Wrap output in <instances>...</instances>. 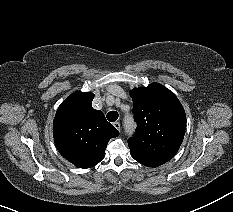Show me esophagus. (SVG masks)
<instances>
[{
	"mask_svg": "<svg viewBox=\"0 0 233 212\" xmlns=\"http://www.w3.org/2000/svg\"><path fill=\"white\" fill-rule=\"evenodd\" d=\"M113 126H114L118 131L121 130V125H120L119 122H114V123H113Z\"/></svg>",
	"mask_w": 233,
	"mask_h": 212,
	"instance_id": "1",
	"label": "esophagus"
}]
</instances>
